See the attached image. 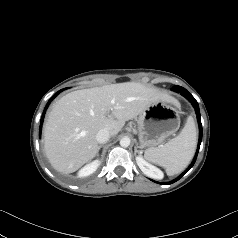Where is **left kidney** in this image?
Here are the masks:
<instances>
[{
    "mask_svg": "<svg viewBox=\"0 0 238 238\" xmlns=\"http://www.w3.org/2000/svg\"><path fill=\"white\" fill-rule=\"evenodd\" d=\"M136 162L141 171L147 176L158 179H161L163 177V173L161 170L146 162L142 157H136Z\"/></svg>",
    "mask_w": 238,
    "mask_h": 238,
    "instance_id": "1",
    "label": "left kidney"
}]
</instances>
